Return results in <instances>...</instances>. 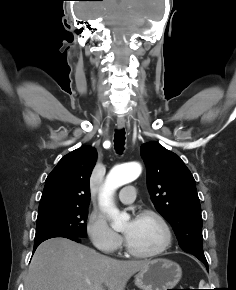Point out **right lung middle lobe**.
<instances>
[{
	"label": "right lung middle lobe",
	"instance_id": "right-lung-middle-lobe-1",
	"mask_svg": "<svg viewBox=\"0 0 236 290\" xmlns=\"http://www.w3.org/2000/svg\"><path fill=\"white\" fill-rule=\"evenodd\" d=\"M87 209L88 206H51L39 209L34 243L53 237H86Z\"/></svg>",
	"mask_w": 236,
	"mask_h": 290
}]
</instances>
